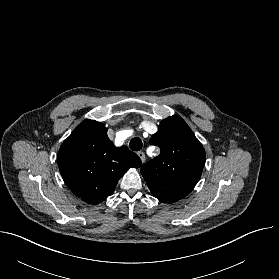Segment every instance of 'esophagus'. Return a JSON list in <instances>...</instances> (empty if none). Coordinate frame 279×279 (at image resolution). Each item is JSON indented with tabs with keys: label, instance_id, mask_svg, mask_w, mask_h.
<instances>
[{
	"label": "esophagus",
	"instance_id": "1",
	"mask_svg": "<svg viewBox=\"0 0 279 279\" xmlns=\"http://www.w3.org/2000/svg\"><path fill=\"white\" fill-rule=\"evenodd\" d=\"M137 154H138L139 158L141 159V161L144 163L146 160L145 153L140 151Z\"/></svg>",
	"mask_w": 279,
	"mask_h": 279
}]
</instances>
